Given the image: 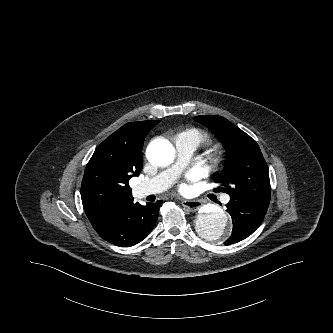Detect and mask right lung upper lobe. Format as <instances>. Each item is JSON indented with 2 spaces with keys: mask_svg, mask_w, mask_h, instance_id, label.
I'll return each mask as SVG.
<instances>
[{
  "mask_svg": "<svg viewBox=\"0 0 333 333\" xmlns=\"http://www.w3.org/2000/svg\"><path fill=\"white\" fill-rule=\"evenodd\" d=\"M151 122L122 126L97 147L89 160L81 184V198L91 223L133 198L128 181L142 169V147Z\"/></svg>",
  "mask_w": 333,
  "mask_h": 333,
  "instance_id": "right-lung-upper-lobe-1",
  "label": "right lung upper lobe"
}]
</instances>
